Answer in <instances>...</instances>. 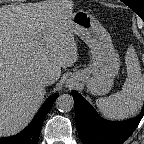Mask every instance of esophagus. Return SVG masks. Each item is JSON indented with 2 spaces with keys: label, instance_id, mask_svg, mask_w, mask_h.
<instances>
[{
  "label": "esophagus",
  "instance_id": "obj_1",
  "mask_svg": "<svg viewBox=\"0 0 144 144\" xmlns=\"http://www.w3.org/2000/svg\"><path fill=\"white\" fill-rule=\"evenodd\" d=\"M67 87H68V88H70V87H71V85L68 83V84H67Z\"/></svg>",
  "mask_w": 144,
  "mask_h": 144
}]
</instances>
